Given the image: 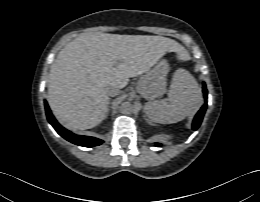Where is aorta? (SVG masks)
<instances>
[{"instance_id": "aorta-1", "label": "aorta", "mask_w": 260, "mask_h": 202, "mask_svg": "<svg viewBox=\"0 0 260 202\" xmlns=\"http://www.w3.org/2000/svg\"><path fill=\"white\" fill-rule=\"evenodd\" d=\"M120 109L122 113L130 114L133 111V105L130 102H124L122 103Z\"/></svg>"}]
</instances>
